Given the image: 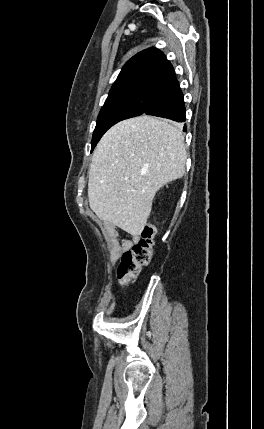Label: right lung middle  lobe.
<instances>
[{"mask_svg": "<svg viewBox=\"0 0 264 429\" xmlns=\"http://www.w3.org/2000/svg\"><path fill=\"white\" fill-rule=\"evenodd\" d=\"M160 89L155 86H137L110 92L98 115L91 151L111 126L143 114Z\"/></svg>", "mask_w": 264, "mask_h": 429, "instance_id": "dd1d6c3e", "label": "right lung middle lobe"}]
</instances>
